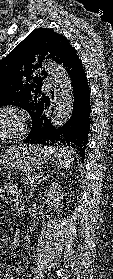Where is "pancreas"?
I'll return each instance as SVG.
<instances>
[{
	"instance_id": "cf45deb5",
	"label": "pancreas",
	"mask_w": 113,
	"mask_h": 279,
	"mask_svg": "<svg viewBox=\"0 0 113 279\" xmlns=\"http://www.w3.org/2000/svg\"><path fill=\"white\" fill-rule=\"evenodd\" d=\"M41 175H42L41 173H28L24 177L23 181L26 185L33 184L38 180V178H39L38 176H41Z\"/></svg>"
}]
</instances>
